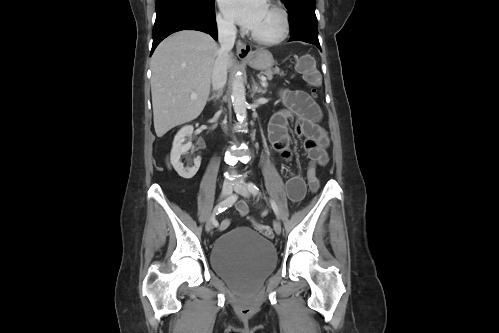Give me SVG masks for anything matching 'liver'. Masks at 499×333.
Here are the masks:
<instances>
[{
  "label": "liver",
  "instance_id": "6515ba94",
  "mask_svg": "<svg viewBox=\"0 0 499 333\" xmlns=\"http://www.w3.org/2000/svg\"><path fill=\"white\" fill-rule=\"evenodd\" d=\"M218 50L210 35L195 30L176 32L158 45L151 59L157 137L201 114L209 97ZM232 57L229 53L228 67ZM192 93H196V99L191 98Z\"/></svg>",
  "mask_w": 499,
  "mask_h": 333
}]
</instances>
